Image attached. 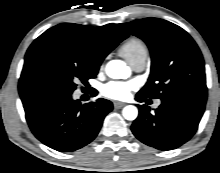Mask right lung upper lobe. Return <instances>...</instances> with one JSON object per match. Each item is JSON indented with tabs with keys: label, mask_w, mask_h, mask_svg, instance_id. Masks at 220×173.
Returning a JSON list of instances; mask_svg holds the SVG:
<instances>
[{
	"label": "right lung upper lobe",
	"mask_w": 220,
	"mask_h": 173,
	"mask_svg": "<svg viewBox=\"0 0 220 173\" xmlns=\"http://www.w3.org/2000/svg\"><path fill=\"white\" fill-rule=\"evenodd\" d=\"M127 37L116 24L89 27L62 23L48 29L26 52L18 86L20 96L42 90V73L52 60L66 56L99 68L104 58Z\"/></svg>",
	"instance_id": "right-lung-upper-lobe-1"
}]
</instances>
